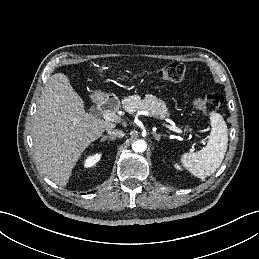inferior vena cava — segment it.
I'll use <instances>...</instances> for the list:
<instances>
[{"label": "inferior vena cava", "mask_w": 259, "mask_h": 259, "mask_svg": "<svg viewBox=\"0 0 259 259\" xmlns=\"http://www.w3.org/2000/svg\"><path fill=\"white\" fill-rule=\"evenodd\" d=\"M107 132L109 135L114 137L122 138L125 136V133L123 131L117 129H108Z\"/></svg>", "instance_id": "obj_1"}]
</instances>
